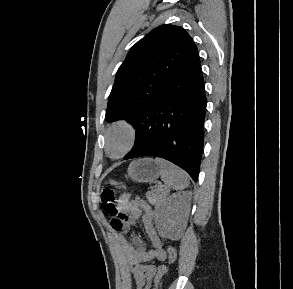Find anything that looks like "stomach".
Returning a JSON list of instances; mask_svg holds the SVG:
<instances>
[{"label":"stomach","instance_id":"1","mask_svg":"<svg viewBox=\"0 0 293 289\" xmlns=\"http://www.w3.org/2000/svg\"><path fill=\"white\" fill-rule=\"evenodd\" d=\"M128 176L135 182H152L160 176V168L152 158L138 159L130 163Z\"/></svg>","mask_w":293,"mask_h":289}]
</instances>
